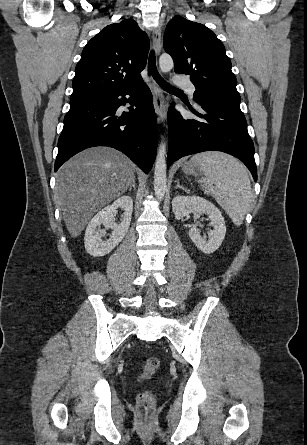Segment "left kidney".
I'll return each mask as SVG.
<instances>
[{"mask_svg":"<svg viewBox=\"0 0 307 445\" xmlns=\"http://www.w3.org/2000/svg\"><path fill=\"white\" fill-rule=\"evenodd\" d=\"M172 208L176 218L189 216L190 212H198V214H208L211 220L213 231H210V237L207 241L205 237H201L197 227H192L189 231V237L202 253H214L222 245V241L226 233L225 220L217 206L202 198V196H174L172 200Z\"/></svg>","mask_w":307,"mask_h":445,"instance_id":"1","label":"left kidney"}]
</instances>
